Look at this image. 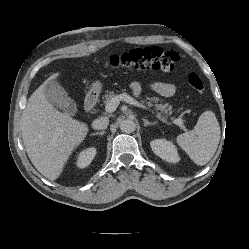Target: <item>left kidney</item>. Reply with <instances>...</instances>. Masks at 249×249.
Returning a JSON list of instances; mask_svg holds the SVG:
<instances>
[{
  "label": "left kidney",
  "instance_id": "left-kidney-1",
  "mask_svg": "<svg viewBox=\"0 0 249 249\" xmlns=\"http://www.w3.org/2000/svg\"><path fill=\"white\" fill-rule=\"evenodd\" d=\"M152 151L159 156L161 159L177 163L180 160V157L177 152L176 146L166 139H155L150 142Z\"/></svg>",
  "mask_w": 249,
  "mask_h": 249
}]
</instances>
